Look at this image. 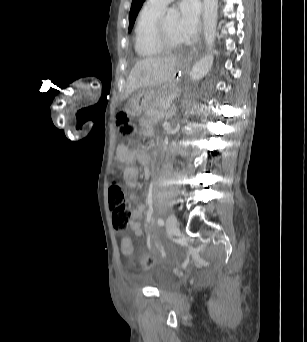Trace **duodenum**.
Listing matches in <instances>:
<instances>
[{"label":"duodenum","instance_id":"410a0bca","mask_svg":"<svg viewBox=\"0 0 307 342\" xmlns=\"http://www.w3.org/2000/svg\"><path fill=\"white\" fill-rule=\"evenodd\" d=\"M143 164H144V166H146V167L149 165V157H148V161L145 160V159L143 160Z\"/></svg>","mask_w":307,"mask_h":342}]
</instances>
